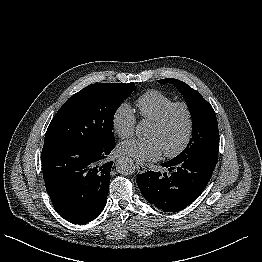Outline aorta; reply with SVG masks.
<instances>
[{"label":"aorta","mask_w":262,"mask_h":262,"mask_svg":"<svg viewBox=\"0 0 262 262\" xmlns=\"http://www.w3.org/2000/svg\"><path fill=\"white\" fill-rule=\"evenodd\" d=\"M147 130L148 126L145 121L139 122L135 128L138 137H143ZM116 169L122 175H131L135 172V164L131 158L121 157L116 162Z\"/></svg>","instance_id":"1"}]
</instances>
